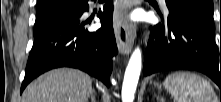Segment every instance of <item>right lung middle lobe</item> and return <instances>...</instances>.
<instances>
[{
    "instance_id": "dd1d6c3e",
    "label": "right lung middle lobe",
    "mask_w": 221,
    "mask_h": 102,
    "mask_svg": "<svg viewBox=\"0 0 221 102\" xmlns=\"http://www.w3.org/2000/svg\"><path fill=\"white\" fill-rule=\"evenodd\" d=\"M80 0H53L49 5L37 8L33 34L43 30L57 19L74 13Z\"/></svg>"
}]
</instances>
